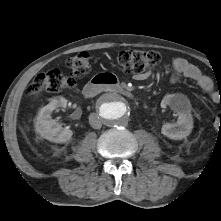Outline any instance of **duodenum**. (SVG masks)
I'll use <instances>...</instances> for the list:
<instances>
[{"label": "duodenum", "instance_id": "duodenum-1", "mask_svg": "<svg viewBox=\"0 0 221 221\" xmlns=\"http://www.w3.org/2000/svg\"><path fill=\"white\" fill-rule=\"evenodd\" d=\"M102 90H108L114 93L131 97V92L121 86L116 80L106 74H101L93 77L83 88V94L87 98L96 96Z\"/></svg>", "mask_w": 221, "mask_h": 221}]
</instances>
